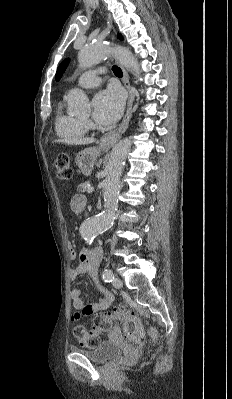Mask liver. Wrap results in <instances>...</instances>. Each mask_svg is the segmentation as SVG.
<instances>
[{"label": "liver", "mask_w": 232, "mask_h": 399, "mask_svg": "<svg viewBox=\"0 0 232 399\" xmlns=\"http://www.w3.org/2000/svg\"><path fill=\"white\" fill-rule=\"evenodd\" d=\"M55 142H62V144H71V146H79V144H92L94 140H91V138H73V140H55Z\"/></svg>", "instance_id": "1"}]
</instances>
